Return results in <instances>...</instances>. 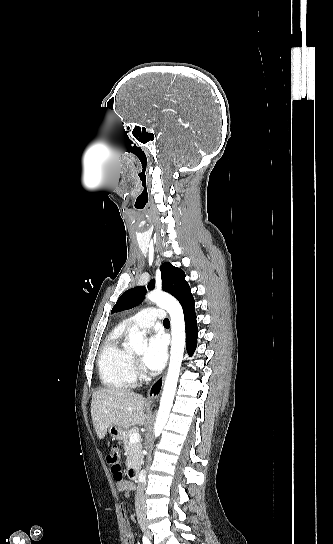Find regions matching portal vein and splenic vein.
I'll return each mask as SVG.
<instances>
[{
	"mask_svg": "<svg viewBox=\"0 0 333 544\" xmlns=\"http://www.w3.org/2000/svg\"><path fill=\"white\" fill-rule=\"evenodd\" d=\"M140 438V434L138 432H135L130 436V443H138L140 441Z\"/></svg>",
	"mask_w": 333,
	"mask_h": 544,
	"instance_id": "obj_1",
	"label": "portal vein and splenic vein"
}]
</instances>
